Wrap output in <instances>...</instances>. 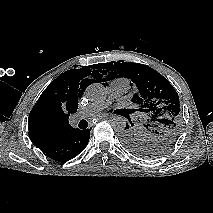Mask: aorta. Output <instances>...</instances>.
Masks as SVG:
<instances>
[{"label":"aorta","mask_w":213,"mask_h":213,"mask_svg":"<svg viewBox=\"0 0 213 213\" xmlns=\"http://www.w3.org/2000/svg\"><path fill=\"white\" fill-rule=\"evenodd\" d=\"M88 97L92 100H100L106 97L107 89L101 83H93L86 89ZM113 128L118 132H123L126 127V119L124 117H116L112 121Z\"/></svg>","instance_id":"aorta-1"}]
</instances>
